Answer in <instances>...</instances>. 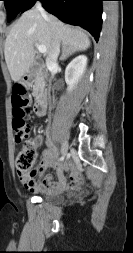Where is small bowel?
<instances>
[{"instance_id":"1","label":"small bowel","mask_w":133,"mask_h":253,"mask_svg":"<svg viewBox=\"0 0 133 253\" xmlns=\"http://www.w3.org/2000/svg\"><path fill=\"white\" fill-rule=\"evenodd\" d=\"M42 138L37 137L35 139V146L42 145ZM48 168H54L58 182L53 180L51 174L44 175ZM70 172L69 180L65 176V172ZM18 178L25 188L32 192H58L67 188H77L82 182L80 173L74 168V166L67 161L57 162V154L51 149H45L42 151L40 163L30 171H18Z\"/></svg>"}]
</instances>
